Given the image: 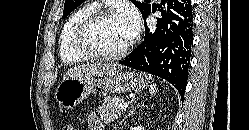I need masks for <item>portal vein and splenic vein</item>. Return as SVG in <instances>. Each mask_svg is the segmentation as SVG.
<instances>
[{"label":"portal vein and splenic vein","mask_w":249,"mask_h":130,"mask_svg":"<svg viewBox=\"0 0 249 130\" xmlns=\"http://www.w3.org/2000/svg\"><path fill=\"white\" fill-rule=\"evenodd\" d=\"M127 107H128V104L127 103H121L120 105H119V110H126L127 109Z\"/></svg>","instance_id":"obj_1"}]
</instances>
